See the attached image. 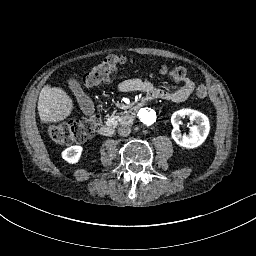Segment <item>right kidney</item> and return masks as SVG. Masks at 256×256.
I'll return each mask as SVG.
<instances>
[{
    "mask_svg": "<svg viewBox=\"0 0 256 256\" xmlns=\"http://www.w3.org/2000/svg\"><path fill=\"white\" fill-rule=\"evenodd\" d=\"M82 153L81 146H71L62 152V158L68 163H77Z\"/></svg>",
    "mask_w": 256,
    "mask_h": 256,
    "instance_id": "obj_1",
    "label": "right kidney"
}]
</instances>
